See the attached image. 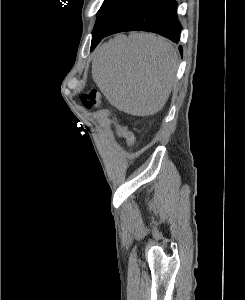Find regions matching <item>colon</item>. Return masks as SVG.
I'll return each instance as SVG.
<instances>
[{
    "label": "colon",
    "instance_id": "obj_1",
    "mask_svg": "<svg viewBox=\"0 0 245 300\" xmlns=\"http://www.w3.org/2000/svg\"><path fill=\"white\" fill-rule=\"evenodd\" d=\"M81 101L87 109L97 107L99 105V95L95 90H91L87 93L81 95ZM119 130L122 137L125 139L126 144L132 147L135 144V137L131 131L128 130L126 126L119 125Z\"/></svg>",
    "mask_w": 245,
    "mask_h": 300
}]
</instances>
